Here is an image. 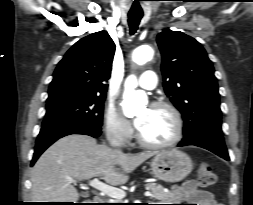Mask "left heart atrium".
Here are the masks:
<instances>
[{"instance_id": "39dd6f15", "label": "left heart atrium", "mask_w": 253, "mask_h": 205, "mask_svg": "<svg viewBox=\"0 0 253 205\" xmlns=\"http://www.w3.org/2000/svg\"><path fill=\"white\" fill-rule=\"evenodd\" d=\"M142 123H143V117L136 118L135 126H136L137 129L142 125Z\"/></svg>"}]
</instances>
